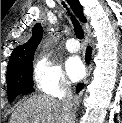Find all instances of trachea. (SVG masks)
<instances>
[{"label":"trachea","instance_id":"trachea-1","mask_svg":"<svg viewBox=\"0 0 122 123\" xmlns=\"http://www.w3.org/2000/svg\"><path fill=\"white\" fill-rule=\"evenodd\" d=\"M62 4L64 5V7H66L64 2H62ZM68 13L71 16V20H72V23L74 26V32H75L76 37L78 39H83L84 33H83V29H82L80 23L77 21L76 18H74V16H72V14L69 11H68Z\"/></svg>","mask_w":122,"mask_h":123}]
</instances>
